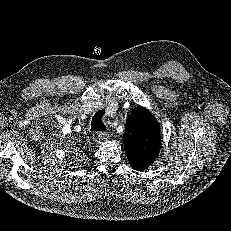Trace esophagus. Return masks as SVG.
<instances>
[{
    "instance_id": "1",
    "label": "esophagus",
    "mask_w": 231,
    "mask_h": 231,
    "mask_svg": "<svg viewBox=\"0 0 231 231\" xmlns=\"http://www.w3.org/2000/svg\"><path fill=\"white\" fill-rule=\"evenodd\" d=\"M97 136L101 140H107L110 137V133L108 131H101L97 133Z\"/></svg>"
}]
</instances>
